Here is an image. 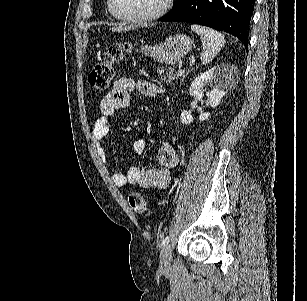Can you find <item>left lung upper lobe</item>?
<instances>
[{
	"instance_id": "5c2ea615",
	"label": "left lung upper lobe",
	"mask_w": 307,
	"mask_h": 301,
	"mask_svg": "<svg viewBox=\"0 0 307 301\" xmlns=\"http://www.w3.org/2000/svg\"><path fill=\"white\" fill-rule=\"evenodd\" d=\"M181 0H176V3H175V5H177L179 2H180Z\"/></svg>"
}]
</instances>
